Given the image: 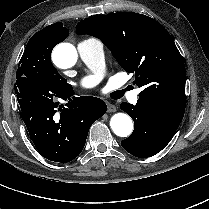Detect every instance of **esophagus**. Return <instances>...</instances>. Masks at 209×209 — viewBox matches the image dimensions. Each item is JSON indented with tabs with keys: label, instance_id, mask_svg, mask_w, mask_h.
Masks as SVG:
<instances>
[{
	"label": "esophagus",
	"instance_id": "34e87169",
	"mask_svg": "<svg viewBox=\"0 0 209 209\" xmlns=\"http://www.w3.org/2000/svg\"><path fill=\"white\" fill-rule=\"evenodd\" d=\"M107 111L108 112H115L116 111L115 105L110 102H107Z\"/></svg>",
	"mask_w": 209,
	"mask_h": 209
}]
</instances>
